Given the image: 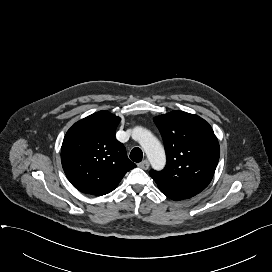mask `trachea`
<instances>
[{"instance_id": "obj_1", "label": "trachea", "mask_w": 272, "mask_h": 272, "mask_svg": "<svg viewBox=\"0 0 272 272\" xmlns=\"http://www.w3.org/2000/svg\"><path fill=\"white\" fill-rule=\"evenodd\" d=\"M143 158V152L140 148L136 147L132 149L130 153V159L134 162H141Z\"/></svg>"}]
</instances>
